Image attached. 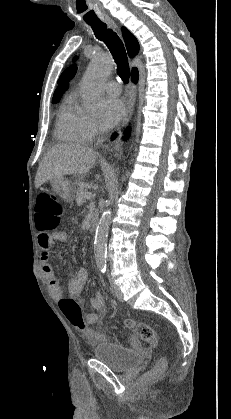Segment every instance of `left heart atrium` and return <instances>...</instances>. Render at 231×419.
Masks as SVG:
<instances>
[{
    "label": "left heart atrium",
    "mask_w": 231,
    "mask_h": 419,
    "mask_svg": "<svg viewBox=\"0 0 231 419\" xmlns=\"http://www.w3.org/2000/svg\"><path fill=\"white\" fill-rule=\"evenodd\" d=\"M124 115L125 105L121 99L110 97L103 102L101 122L104 128H113Z\"/></svg>",
    "instance_id": "left-heart-atrium-1"
}]
</instances>
